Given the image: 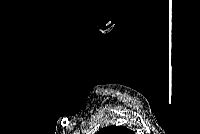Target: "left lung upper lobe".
<instances>
[{"mask_svg": "<svg viewBox=\"0 0 200 134\" xmlns=\"http://www.w3.org/2000/svg\"><path fill=\"white\" fill-rule=\"evenodd\" d=\"M98 134H133V131L124 126H108L102 128Z\"/></svg>", "mask_w": 200, "mask_h": 134, "instance_id": "1", "label": "left lung upper lobe"}]
</instances>
